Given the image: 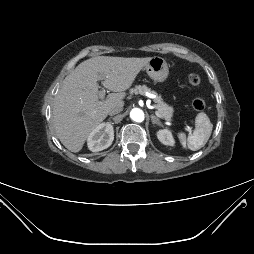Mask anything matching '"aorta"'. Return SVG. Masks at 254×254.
<instances>
[{
    "mask_svg": "<svg viewBox=\"0 0 254 254\" xmlns=\"http://www.w3.org/2000/svg\"><path fill=\"white\" fill-rule=\"evenodd\" d=\"M130 117L133 121L142 122L144 120V112L141 109L134 108L130 112Z\"/></svg>",
    "mask_w": 254,
    "mask_h": 254,
    "instance_id": "1",
    "label": "aorta"
}]
</instances>
